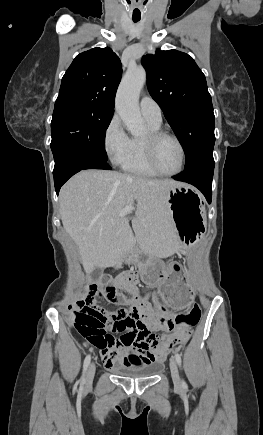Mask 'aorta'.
Listing matches in <instances>:
<instances>
[{"label": "aorta", "instance_id": "1", "mask_svg": "<svg viewBox=\"0 0 263 435\" xmlns=\"http://www.w3.org/2000/svg\"><path fill=\"white\" fill-rule=\"evenodd\" d=\"M145 82L146 72L143 68L129 69L116 95V111L128 131L134 136H140L146 131L138 105L139 93Z\"/></svg>", "mask_w": 263, "mask_h": 435}]
</instances>
